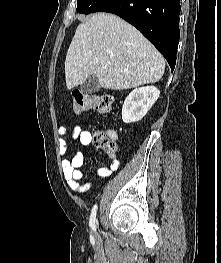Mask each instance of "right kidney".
<instances>
[{"label":"right kidney","instance_id":"right-kidney-1","mask_svg":"<svg viewBox=\"0 0 221 263\" xmlns=\"http://www.w3.org/2000/svg\"><path fill=\"white\" fill-rule=\"evenodd\" d=\"M160 91L154 86L135 88L126 97L122 107V120L126 124L141 120L156 102Z\"/></svg>","mask_w":221,"mask_h":263}]
</instances>
